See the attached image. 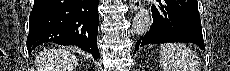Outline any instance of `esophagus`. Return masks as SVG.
I'll return each mask as SVG.
<instances>
[{
	"instance_id": "34e87169",
	"label": "esophagus",
	"mask_w": 230,
	"mask_h": 71,
	"mask_svg": "<svg viewBox=\"0 0 230 71\" xmlns=\"http://www.w3.org/2000/svg\"><path fill=\"white\" fill-rule=\"evenodd\" d=\"M129 4H130L131 12H135L140 8L141 0H130Z\"/></svg>"
}]
</instances>
